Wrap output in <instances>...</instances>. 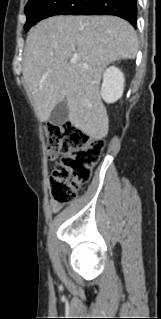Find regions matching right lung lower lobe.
Returning <instances> with one entry per match:
<instances>
[{"instance_id":"1","label":"right lung lower lobe","mask_w":161,"mask_h":319,"mask_svg":"<svg viewBox=\"0 0 161 319\" xmlns=\"http://www.w3.org/2000/svg\"><path fill=\"white\" fill-rule=\"evenodd\" d=\"M137 0H87L72 15H116L136 26Z\"/></svg>"}]
</instances>
